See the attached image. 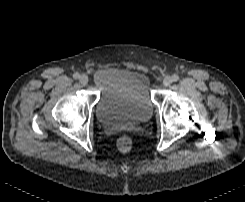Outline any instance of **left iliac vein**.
<instances>
[{
  "label": "left iliac vein",
  "mask_w": 245,
  "mask_h": 202,
  "mask_svg": "<svg viewBox=\"0 0 245 202\" xmlns=\"http://www.w3.org/2000/svg\"><path fill=\"white\" fill-rule=\"evenodd\" d=\"M172 81L173 80H172V78L170 76H166L164 78V80H163V85L166 86V87H168V86L171 85Z\"/></svg>",
  "instance_id": "obj_1"
}]
</instances>
